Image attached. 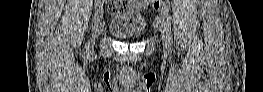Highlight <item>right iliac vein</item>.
Listing matches in <instances>:
<instances>
[{"mask_svg": "<svg viewBox=\"0 0 263 92\" xmlns=\"http://www.w3.org/2000/svg\"><path fill=\"white\" fill-rule=\"evenodd\" d=\"M102 14H103L102 7L100 6L99 10H96V15H95L96 28H95V31L93 32L92 37L88 43L89 47H93L95 45V42H96V39H97L99 33L102 32L104 29V25L101 23Z\"/></svg>", "mask_w": 263, "mask_h": 92, "instance_id": "obj_1", "label": "right iliac vein"}]
</instances>
